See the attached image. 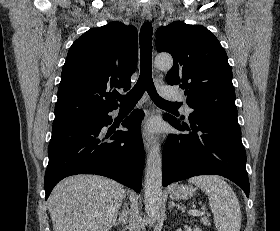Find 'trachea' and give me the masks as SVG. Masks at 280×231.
I'll return each mask as SVG.
<instances>
[{"instance_id": "1", "label": "trachea", "mask_w": 280, "mask_h": 231, "mask_svg": "<svg viewBox=\"0 0 280 231\" xmlns=\"http://www.w3.org/2000/svg\"><path fill=\"white\" fill-rule=\"evenodd\" d=\"M140 75L136 85L126 95H113L120 101L121 105H133L140 100L144 92L147 91L151 99L160 108L166 110H178L180 104L177 102H167L161 98L152 80V25L144 23L140 30Z\"/></svg>"}]
</instances>
